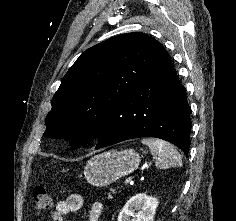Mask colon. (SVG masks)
Returning a JSON list of instances; mask_svg holds the SVG:
<instances>
[{
    "instance_id": "obj_1",
    "label": "colon",
    "mask_w": 236,
    "mask_h": 221,
    "mask_svg": "<svg viewBox=\"0 0 236 221\" xmlns=\"http://www.w3.org/2000/svg\"><path fill=\"white\" fill-rule=\"evenodd\" d=\"M51 204L48 188L44 185L35 187L33 191V207L37 214L46 212Z\"/></svg>"
}]
</instances>
